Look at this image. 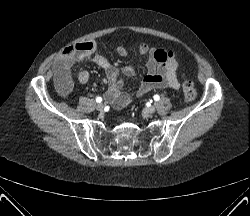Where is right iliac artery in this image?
<instances>
[{
	"instance_id": "obj_1",
	"label": "right iliac artery",
	"mask_w": 250,
	"mask_h": 216,
	"mask_svg": "<svg viewBox=\"0 0 250 216\" xmlns=\"http://www.w3.org/2000/svg\"><path fill=\"white\" fill-rule=\"evenodd\" d=\"M96 102H98V103L102 102V98L101 97H97L96 98Z\"/></svg>"
}]
</instances>
